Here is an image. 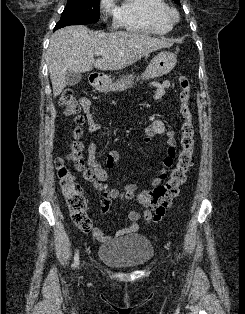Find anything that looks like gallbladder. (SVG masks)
<instances>
[{
	"label": "gallbladder",
	"mask_w": 245,
	"mask_h": 314,
	"mask_svg": "<svg viewBox=\"0 0 245 314\" xmlns=\"http://www.w3.org/2000/svg\"><path fill=\"white\" fill-rule=\"evenodd\" d=\"M65 79L68 86H74L81 81L82 74L80 72H68Z\"/></svg>",
	"instance_id": "bac80fb5"
}]
</instances>
